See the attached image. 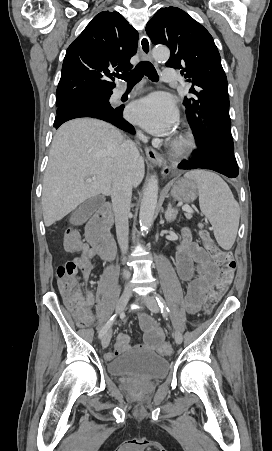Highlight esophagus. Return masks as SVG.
<instances>
[{
    "label": "esophagus",
    "instance_id": "esophagus-1",
    "mask_svg": "<svg viewBox=\"0 0 272 451\" xmlns=\"http://www.w3.org/2000/svg\"><path fill=\"white\" fill-rule=\"evenodd\" d=\"M140 51L142 58L144 60H151V43L150 39L147 35H142L139 40ZM146 156L148 160L162 168V174H168L170 172V167L167 165L165 158L157 153L153 148L146 147L145 148Z\"/></svg>",
    "mask_w": 272,
    "mask_h": 451
}]
</instances>
